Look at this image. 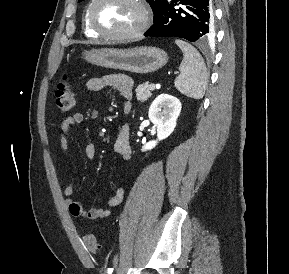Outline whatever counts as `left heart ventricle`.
Masks as SVG:
<instances>
[{
    "instance_id": "left-heart-ventricle-1",
    "label": "left heart ventricle",
    "mask_w": 289,
    "mask_h": 274,
    "mask_svg": "<svg viewBox=\"0 0 289 274\" xmlns=\"http://www.w3.org/2000/svg\"><path fill=\"white\" fill-rule=\"evenodd\" d=\"M93 15L96 24L111 33L129 32L141 19L139 8L131 0H102L94 8Z\"/></svg>"
}]
</instances>
